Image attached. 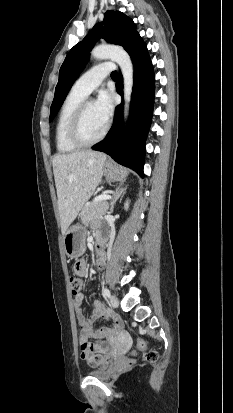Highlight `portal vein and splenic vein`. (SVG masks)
Segmentation results:
<instances>
[{
  "instance_id": "portal-vein-and-splenic-vein-1",
  "label": "portal vein and splenic vein",
  "mask_w": 233,
  "mask_h": 413,
  "mask_svg": "<svg viewBox=\"0 0 233 413\" xmlns=\"http://www.w3.org/2000/svg\"><path fill=\"white\" fill-rule=\"evenodd\" d=\"M110 198H111V195H108V194L99 195L94 198L93 203H96L100 200H109Z\"/></svg>"
}]
</instances>
